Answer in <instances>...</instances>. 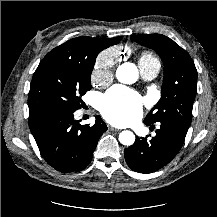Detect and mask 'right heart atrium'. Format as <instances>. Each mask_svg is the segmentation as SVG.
<instances>
[{
    "label": "right heart atrium",
    "instance_id": "1",
    "mask_svg": "<svg viewBox=\"0 0 217 217\" xmlns=\"http://www.w3.org/2000/svg\"><path fill=\"white\" fill-rule=\"evenodd\" d=\"M117 62V53L113 49L101 52L92 71V80L96 84L105 86L113 79L114 66Z\"/></svg>",
    "mask_w": 217,
    "mask_h": 217
}]
</instances>
